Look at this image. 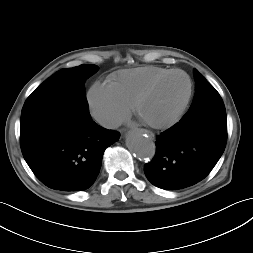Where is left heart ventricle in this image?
<instances>
[{
  "instance_id": "1",
  "label": "left heart ventricle",
  "mask_w": 253,
  "mask_h": 253,
  "mask_svg": "<svg viewBox=\"0 0 253 253\" xmlns=\"http://www.w3.org/2000/svg\"><path fill=\"white\" fill-rule=\"evenodd\" d=\"M187 90L188 83L183 75H171L145 99L141 106V116L155 123L169 120L180 107Z\"/></svg>"
}]
</instances>
